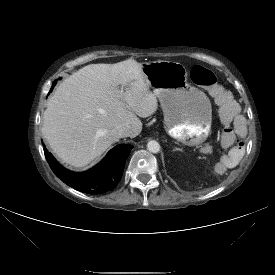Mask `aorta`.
<instances>
[{"label":"aorta","mask_w":275,"mask_h":275,"mask_svg":"<svg viewBox=\"0 0 275 275\" xmlns=\"http://www.w3.org/2000/svg\"><path fill=\"white\" fill-rule=\"evenodd\" d=\"M147 149L152 153H158L160 151V144L155 140H151L147 143Z\"/></svg>","instance_id":"762f6f07"}]
</instances>
